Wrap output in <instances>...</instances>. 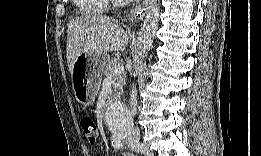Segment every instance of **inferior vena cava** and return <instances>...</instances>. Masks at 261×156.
I'll use <instances>...</instances> for the list:
<instances>
[{"label": "inferior vena cava", "mask_w": 261, "mask_h": 156, "mask_svg": "<svg viewBox=\"0 0 261 156\" xmlns=\"http://www.w3.org/2000/svg\"><path fill=\"white\" fill-rule=\"evenodd\" d=\"M130 107H131V112L133 115L136 114V107H137V90L134 86L132 85V90L130 94ZM127 142L128 144H140V131L138 127H135L131 133L128 134L127 136Z\"/></svg>", "instance_id": "inferior-vena-cava-1"}]
</instances>
